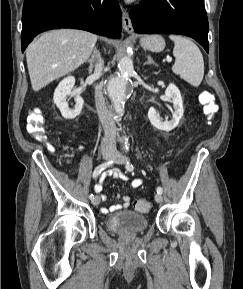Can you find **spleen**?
<instances>
[{"label": "spleen", "instance_id": "1", "mask_svg": "<svg viewBox=\"0 0 243 289\" xmlns=\"http://www.w3.org/2000/svg\"><path fill=\"white\" fill-rule=\"evenodd\" d=\"M169 38L174 42L172 71L189 84L199 86L204 76V61L199 48L181 35H170Z\"/></svg>", "mask_w": 243, "mask_h": 289}]
</instances>
